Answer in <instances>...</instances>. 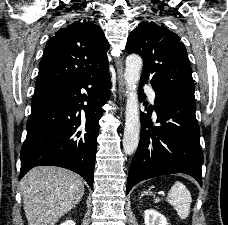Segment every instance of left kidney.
Here are the masks:
<instances>
[{
    "label": "left kidney",
    "mask_w": 228,
    "mask_h": 225,
    "mask_svg": "<svg viewBox=\"0 0 228 225\" xmlns=\"http://www.w3.org/2000/svg\"><path fill=\"white\" fill-rule=\"evenodd\" d=\"M144 225H168L164 215L154 209H147L144 213Z\"/></svg>",
    "instance_id": "left-kidney-1"
}]
</instances>
